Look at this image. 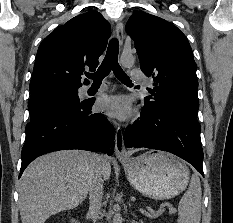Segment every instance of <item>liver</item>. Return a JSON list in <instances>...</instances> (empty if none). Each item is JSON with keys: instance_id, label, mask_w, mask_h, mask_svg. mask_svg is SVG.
<instances>
[{"instance_id": "liver-1", "label": "liver", "mask_w": 233, "mask_h": 223, "mask_svg": "<svg viewBox=\"0 0 233 223\" xmlns=\"http://www.w3.org/2000/svg\"><path fill=\"white\" fill-rule=\"evenodd\" d=\"M95 159L91 151L64 149L34 159L19 179L22 223H45L50 215L78 207L88 193L89 173ZM103 179H109L108 157L101 163Z\"/></svg>"}]
</instances>
